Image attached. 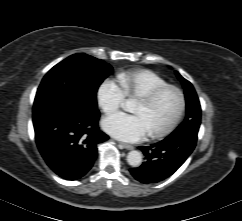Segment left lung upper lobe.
I'll return each instance as SVG.
<instances>
[{
    "instance_id": "5c2ea615",
    "label": "left lung upper lobe",
    "mask_w": 242,
    "mask_h": 221,
    "mask_svg": "<svg viewBox=\"0 0 242 221\" xmlns=\"http://www.w3.org/2000/svg\"><path fill=\"white\" fill-rule=\"evenodd\" d=\"M182 82L186 97V117L171 135L195 134L197 135L201 123V107L192 84L176 72Z\"/></svg>"
}]
</instances>
